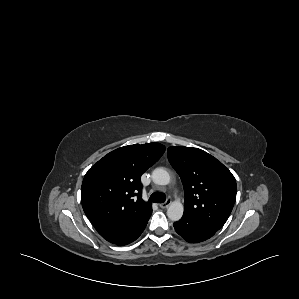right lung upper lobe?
Masks as SVG:
<instances>
[{"label":"right lung upper lobe","instance_id":"obj_1","mask_svg":"<svg viewBox=\"0 0 299 299\" xmlns=\"http://www.w3.org/2000/svg\"><path fill=\"white\" fill-rule=\"evenodd\" d=\"M164 151L159 143L121 147L87 171L81 202L100 235L136 227L151 216V204L141 198L140 178Z\"/></svg>","mask_w":299,"mask_h":299}]
</instances>
